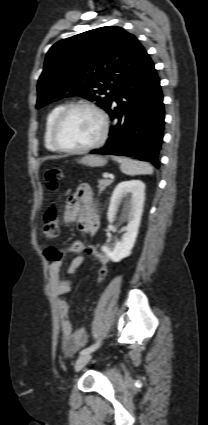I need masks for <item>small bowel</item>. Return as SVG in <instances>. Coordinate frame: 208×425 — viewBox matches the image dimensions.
I'll return each instance as SVG.
<instances>
[{
  "label": "small bowel",
  "mask_w": 208,
  "mask_h": 425,
  "mask_svg": "<svg viewBox=\"0 0 208 425\" xmlns=\"http://www.w3.org/2000/svg\"><path fill=\"white\" fill-rule=\"evenodd\" d=\"M63 218L66 223L77 222L78 228L84 233L94 235L97 232L99 219L95 211L93 191L88 184L82 183L77 186L75 192L67 201ZM61 251L63 255L73 253L76 256L72 259L65 272L62 270V260L51 261L49 266V288L56 300L63 351L66 355H72L85 344L87 334L82 328L73 330L68 318L69 306L64 296L69 293L71 282L65 278V275H72L82 265L85 259L84 253L94 256L104 267H107L108 257L99 252L94 245H86L81 240H75L68 248Z\"/></svg>",
  "instance_id": "c3829d8e"
}]
</instances>
